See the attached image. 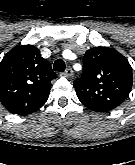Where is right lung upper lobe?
Masks as SVG:
<instances>
[{"instance_id":"obj_1","label":"right lung upper lobe","mask_w":135,"mask_h":165,"mask_svg":"<svg viewBox=\"0 0 135 165\" xmlns=\"http://www.w3.org/2000/svg\"><path fill=\"white\" fill-rule=\"evenodd\" d=\"M55 78L39 49L16 46L0 62V101L14 114H30L47 101Z\"/></svg>"}]
</instances>
